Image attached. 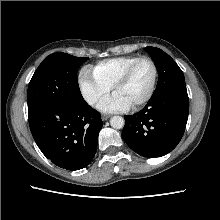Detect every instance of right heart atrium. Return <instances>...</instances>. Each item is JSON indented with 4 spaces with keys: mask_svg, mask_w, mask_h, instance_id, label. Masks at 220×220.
Listing matches in <instances>:
<instances>
[{
    "mask_svg": "<svg viewBox=\"0 0 220 220\" xmlns=\"http://www.w3.org/2000/svg\"><path fill=\"white\" fill-rule=\"evenodd\" d=\"M78 84L83 99L90 106L97 105L111 90V87L99 80L89 67L80 71Z\"/></svg>",
    "mask_w": 220,
    "mask_h": 220,
    "instance_id": "right-heart-atrium-1",
    "label": "right heart atrium"
}]
</instances>
